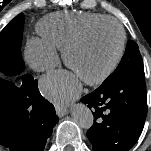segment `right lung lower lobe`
<instances>
[{
    "mask_svg": "<svg viewBox=\"0 0 151 151\" xmlns=\"http://www.w3.org/2000/svg\"><path fill=\"white\" fill-rule=\"evenodd\" d=\"M0 110L8 120L6 132L0 134V145L7 151H43L59 119L29 74L22 76L19 87L0 79Z\"/></svg>",
    "mask_w": 151,
    "mask_h": 151,
    "instance_id": "98d812e1",
    "label": "right lung lower lobe"
}]
</instances>
